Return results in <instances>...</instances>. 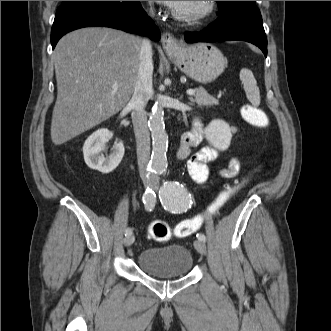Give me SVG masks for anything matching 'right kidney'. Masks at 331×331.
Here are the masks:
<instances>
[{
	"instance_id": "1",
	"label": "right kidney",
	"mask_w": 331,
	"mask_h": 331,
	"mask_svg": "<svg viewBox=\"0 0 331 331\" xmlns=\"http://www.w3.org/2000/svg\"><path fill=\"white\" fill-rule=\"evenodd\" d=\"M113 134L105 128L92 133L85 141L83 146L84 160L87 166L103 174L112 172L117 168L124 156V145L122 142L115 143L110 155L105 156L106 143L112 138Z\"/></svg>"
}]
</instances>
